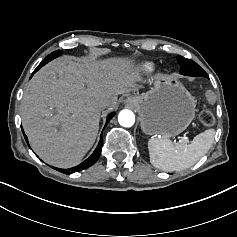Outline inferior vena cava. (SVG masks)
<instances>
[{
    "mask_svg": "<svg viewBox=\"0 0 237 237\" xmlns=\"http://www.w3.org/2000/svg\"><path fill=\"white\" fill-rule=\"evenodd\" d=\"M111 104V101L109 99H102L99 101V105L104 109L106 107H109Z\"/></svg>",
    "mask_w": 237,
    "mask_h": 237,
    "instance_id": "inferior-vena-cava-1",
    "label": "inferior vena cava"
}]
</instances>
